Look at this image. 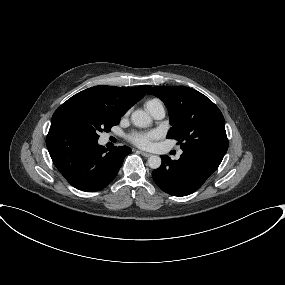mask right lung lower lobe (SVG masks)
Returning <instances> with one entry per match:
<instances>
[{"mask_svg": "<svg viewBox=\"0 0 285 285\" xmlns=\"http://www.w3.org/2000/svg\"><path fill=\"white\" fill-rule=\"evenodd\" d=\"M51 159L63 177L75 188L95 192L116 177L126 155L127 146L106 149L97 141L59 125H51L46 137Z\"/></svg>", "mask_w": 285, "mask_h": 285, "instance_id": "obj_1", "label": "right lung lower lobe"}]
</instances>
